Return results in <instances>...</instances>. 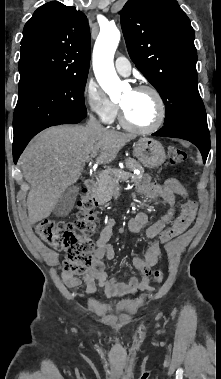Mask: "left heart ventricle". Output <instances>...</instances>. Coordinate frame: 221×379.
Wrapping results in <instances>:
<instances>
[{
  "instance_id": "left-heart-ventricle-1",
  "label": "left heart ventricle",
  "mask_w": 221,
  "mask_h": 379,
  "mask_svg": "<svg viewBox=\"0 0 221 379\" xmlns=\"http://www.w3.org/2000/svg\"><path fill=\"white\" fill-rule=\"evenodd\" d=\"M128 120L137 126L146 127L151 125L157 116V103L155 98L148 92H126L119 103Z\"/></svg>"
}]
</instances>
